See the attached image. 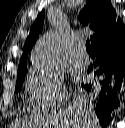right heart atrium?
<instances>
[{"mask_svg":"<svg viewBox=\"0 0 125 128\" xmlns=\"http://www.w3.org/2000/svg\"><path fill=\"white\" fill-rule=\"evenodd\" d=\"M26 90L31 104L42 110L54 108L66 96L60 77L52 71H30Z\"/></svg>","mask_w":125,"mask_h":128,"instance_id":"obj_1","label":"right heart atrium"}]
</instances>
